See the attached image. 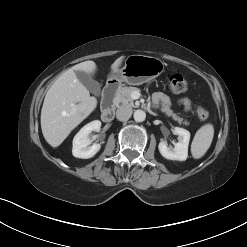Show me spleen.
I'll return each mask as SVG.
<instances>
[{"label": "spleen", "instance_id": "3e777b00", "mask_svg": "<svg viewBox=\"0 0 247 247\" xmlns=\"http://www.w3.org/2000/svg\"><path fill=\"white\" fill-rule=\"evenodd\" d=\"M213 137L214 127L212 124H205L198 129L191 144V153L193 158L199 159L205 155L211 146Z\"/></svg>", "mask_w": 247, "mask_h": 247}]
</instances>
